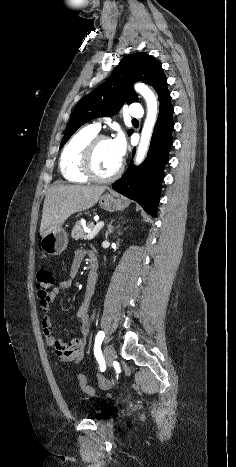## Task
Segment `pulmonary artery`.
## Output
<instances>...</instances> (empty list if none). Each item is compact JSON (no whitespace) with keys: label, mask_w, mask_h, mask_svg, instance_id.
Listing matches in <instances>:
<instances>
[{"label":"pulmonary artery","mask_w":236,"mask_h":467,"mask_svg":"<svg viewBox=\"0 0 236 467\" xmlns=\"http://www.w3.org/2000/svg\"><path fill=\"white\" fill-rule=\"evenodd\" d=\"M129 115H131L132 117H135V118H141L143 116V108H142V105L140 103H133L129 109ZM92 129H94L95 131H99L100 128H101V122L100 121H93L90 125H89Z\"/></svg>","instance_id":"pulmonary-artery-1"}]
</instances>
